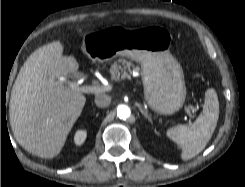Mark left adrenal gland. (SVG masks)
<instances>
[{
  "instance_id": "a2214340",
  "label": "left adrenal gland",
  "mask_w": 245,
  "mask_h": 187,
  "mask_svg": "<svg viewBox=\"0 0 245 187\" xmlns=\"http://www.w3.org/2000/svg\"><path fill=\"white\" fill-rule=\"evenodd\" d=\"M139 110H140V112H141V113L148 119V121H149L150 123H152L151 117L148 115L147 111H145V110L141 107V105H139Z\"/></svg>"
}]
</instances>
